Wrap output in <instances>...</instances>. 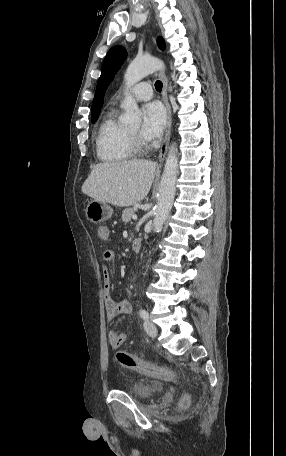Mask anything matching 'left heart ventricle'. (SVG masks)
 I'll use <instances>...</instances> for the list:
<instances>
[{
    "label": "left heart ventricle",
    "mask_w": 286,
    "mask_h": 456,
    "mask_svg": "<svg viewBox=\"0 0 286 456\" xmlns=\"http://www.w3.org/2000/svg\"><path fill=\"white\" fill-rule=\"evenodd\" d=\"M131 131H132L133 133H136V134H138V132H139V128H133V129H131Z\"/></svg>",
    "instance_id": "left-heart-ventricle-1"
}]
</instances>
